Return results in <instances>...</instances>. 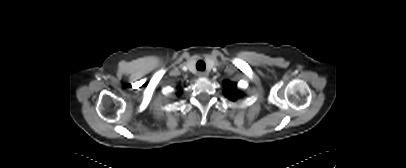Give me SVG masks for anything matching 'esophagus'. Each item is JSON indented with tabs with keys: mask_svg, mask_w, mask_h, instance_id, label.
Returning a JSON list of instances; mask_svg holds the SVG:
<instances>
[{
	"mask_svg": "<svg viewBox=\"0 0 406 168\" xmlns=\"http://www.w3.org/2000/svg\"><path fill=\"white\" fill-rule=\"evenodd\" d=\"M199 76H200V77H207V76H208V73H207V72H204V71H201V72H199Z\"/></svg>",
	"mask_w": 406,
	"mask_h": 168,
	"instance_id": "34e87169",
	"label": "esophagus"
}]
</instances>
